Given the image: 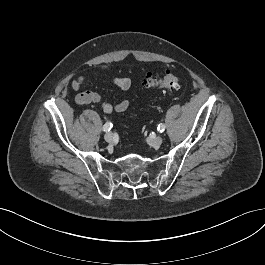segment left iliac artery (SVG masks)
Listing matches in <instances>:
<instances>
[{
	"instance_id": "1",
	"label": "left iliac artery",
	"mask_w": 265,
	"mask_h": 265,
	"mask_svg": "<svg viewBox=\"0 0 265 265\" xmlns=\"http://www.w3.org/2000/svg\"><path fill=\"white\" fill-rule=\"evenodd\" d=\"M157 130L159 132H163L165 130V125L164 124H159Z\"/></svg>"
}]
</instances>
